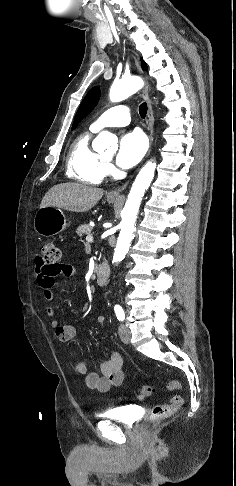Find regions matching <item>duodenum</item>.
Returning a JSON list of instances; mask_svg holds the SVG:
<instances>
[{
	"mask_svg": "<svg viewBox=\"0 0 236 486\" xmlns=\"http://www.w3.org/2000/svg\"><path fill=\"white\" fill-rule=\"evenodd\" d=\"M96 283L99 286H103L107 283L110 275V267L107 262L101 263L95 271Z\"/></svg>",
	"mask_w": 236,
	"mask_h": 486,
	"instance_id": "obj_1",
	"label": "duodenum"
}]
</instances>
